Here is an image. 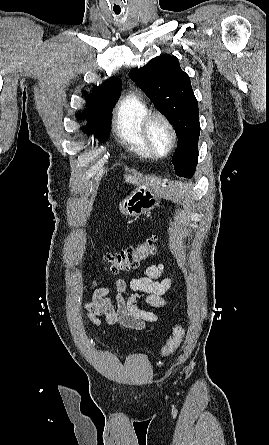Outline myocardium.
I'll return each instance as SVG.
<instances>
[{"mask_svg": "<svg viewBox=\"0 0 269 445\" xmlns=\"http://www.w3.org/2000/svg\"><path fill=\"white\" fill-rule=\"evenodd\" d=\"M156 120H160L161 122H163L171 135V144L169 149L165 153H159L154 147L150 138V128L152 123ZM142 136L150 152L153 154V156L157 158H165L169 156L175 149L178 140L177 131L173 122L170 120L168 116H166L164 113L161 112H151L145 117L142 124Z\"/></svg>", "mask_w": 269, "mask_h": 445, "instance_id": "f54148a6", "label": "myocardium"}]
</instances>
